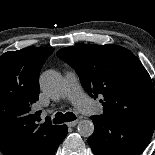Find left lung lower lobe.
<instances>
[{
	"label": "left lung lower lobe",
	"instance_id": "left-lung-lower-lobe-1",
	"mask_svg": "<svg viewBox=\"0 0 155 155\" xmlns=\"http://www.w3.org/2000/svg\"><path fill=\"white\" fill-rule=\"evenodd\" d=\"M94 133L88 143L95 155H139L155 128V118L92 116Z\"/></svg>",
	"mask_w": 155,
	"mask_h": 155
}]
</instances>
